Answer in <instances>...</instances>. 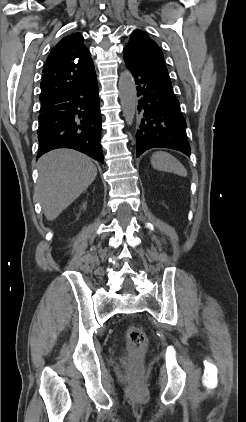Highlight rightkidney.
Wrapping results in <instances>:
<instances>
[{
  "mask_svg": "<svg viewBox=\"0 0 246 422\" xmlns=\"http://www.w3.org/2000/svg\"><path fill=\"white\" fill-rule=\"evenodd\" d=\"M82 208H83V209H85V208H86V204H85V203L83 204Z\"/></svg>",
  "mask_w": 246,
  "mask_h": 422,
  "instance_id": "right-kidney-1",
  "label": "right kidney"
}]
</instances>
